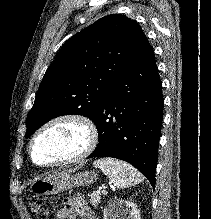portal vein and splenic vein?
Segmentation results:
<instances>
[{"label": "portal vein and splenic vein", "instance_id": "18ae733b", "mask_svg": "<svg viewBox=\"0 0 211 219\" xmlns=\"http://www.w3.org/2000/svg\"><path fill=\"white\" fill-rule=\"evenodd\" d=\"M97 193H98V194H100V193L106 194L107 191H106L105 189H103V190L99 189V190L97 191Z\"/></svg>", "mask_w": 211, "mask_h": 219}]
</instances>
